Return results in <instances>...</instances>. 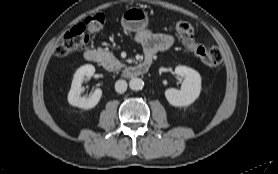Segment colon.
<instances>
[{
  "mask_svg": "<svg viewBox=\"0 0 278 174\" xmlns=\"http://www.w3.org/2000/svg\"><path fill=\"white\" fill-rule=\"evenodd\" d=\"M105 23V17L97 14L87 17L81 23L73 26L57 43L55 54L59 57L67 56L85 47L90 36L98 32ZM176 31L183 47L195 55L209 67H217L222 63L223 55L218 47H205L196 42L194 30L190 23L181 21L176 25Z\"/></svg>",
  "mask_w": 278,
  "mask_h": 174,
  "instance_id": "1",
  "label": "colon"
}]
</instances>
